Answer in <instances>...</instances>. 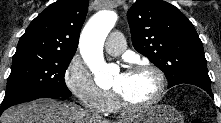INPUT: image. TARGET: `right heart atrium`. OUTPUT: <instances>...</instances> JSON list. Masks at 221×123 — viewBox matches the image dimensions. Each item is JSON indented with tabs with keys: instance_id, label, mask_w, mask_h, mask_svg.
Returning a JSON list of instances; mask_svg holds the SVG:
<instances>
[{
	"instance_id": "obj_1",
	"label": "right heart atrium",
	"mask_w": 221,
	"mask_h": 123,
	"mask_svg": "<svg viewBox=\"0 0 221 123\" xmlns=\"http://www.w3.org/2000/svg\"><path fill=\"white\" fill-rule=\"evenodd\" d=\"M64 80L68 89L86 107L99 113L108 111L113 94L96 85L87 67L78 59L69 63Z\"/></svg>"
}]
</instances>
